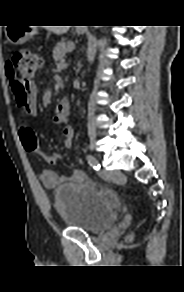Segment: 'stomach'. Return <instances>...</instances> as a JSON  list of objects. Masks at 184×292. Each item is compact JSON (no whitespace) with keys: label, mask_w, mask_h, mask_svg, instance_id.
Returning a JSON list of instances; mask_svg holds the SVG:
<instances>
[{"label":"stomach","mask_w":184,"mask_h":292,"mask_svg":"<svg viewBox=\"0 0 184 292\" xmlns=\"http://www.w3.org/2000/svg\"><path fill=\"white\" fill-rule=\"evenodd\" d=\"M36 33L37 29L33 26L8 28L7 38L14 45H21Z\"/></svg>","instance_id":"obj_1"}]
</instances>
